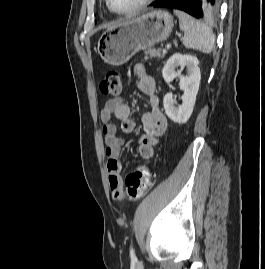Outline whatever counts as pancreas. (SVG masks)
I'll use <instances>...</instances> for the list:
<instances>
[{"label": "pancreas", "mask_w": 265, "mask_h": 269, "mask_svg": "<svg viewBox=\"0 0 265 269\" xmlns=\"http://www.w3.org/2000/svg\"><path fill=\"white\" fill-rule=\"evenodd\" d=\"M152 57L154 58H164L165 57V53H161V49H149L147 51H145V60L151 59Z\"/></svg>", "instance_id": "1"}]
</instances>
